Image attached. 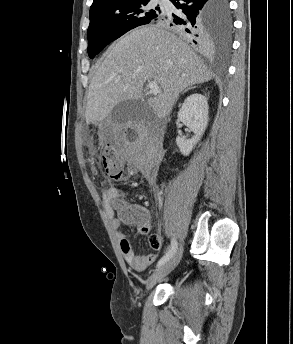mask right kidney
<instances>
[{"instance_id":"right-kidney-1","label":"right kidney","mask_w":293,"mask_h":344,"mask_svg":"<svg viewBox=\"0 0 293 344\" xmlns=\"http://www.w3.org/2000/svg\"><path fill=\"white\" fill-rule=\"evenodd\" d=\"M178 119L193 133L191 139L176 137V144L184 156H188L194 146L200 141L208 123L207 97L194 93L186 98L178 112Z\"/></svg>"}]
</instances>
